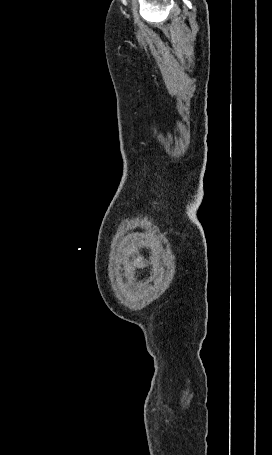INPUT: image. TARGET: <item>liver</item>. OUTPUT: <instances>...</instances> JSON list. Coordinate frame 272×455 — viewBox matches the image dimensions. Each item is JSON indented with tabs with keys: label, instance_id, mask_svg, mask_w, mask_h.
Returning a JSON list of instances; mask_svg holds the SVG:
<instances>
[{
	"label": "liver",
	"instance_id": "obj_1",
	"mask_svg": "<svg viewBox=\"0 0 272 455\" xmlns=\"http://www.w3.org/2000/svg\"><path fill=\"white\" fill-rule=\"evenodd\" d=\"M142 260L143 258L138 256V258L134 259L133 264L137 267H143L144 265Z\"/></svg>",
	"mask_w": 272,
	"mask_h": 455
}]
</instances>
